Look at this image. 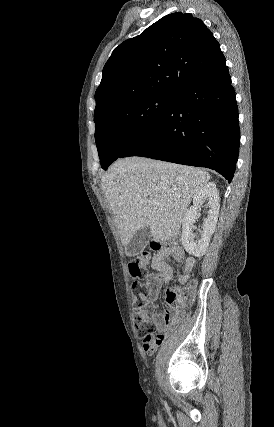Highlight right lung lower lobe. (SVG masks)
<instances>
[{
	"mask_svg": "<svg viewBox=\"0 0 274 427\" xmlns=\"http://www.w3.org/2000/svg\"><path fill=\"white\" fill-rule=\"evenodd\" d=\"M238 107L228 67L182 88L165 116L121 155L207 167L231 182L239 152Z\"/></svg>",
	"mask_w": 274,
	"mask_h": 427,
	"instance_id": "right-lung-lower-lobe-1",
	"label": "right lung lower lobe"
}]
</instances>
